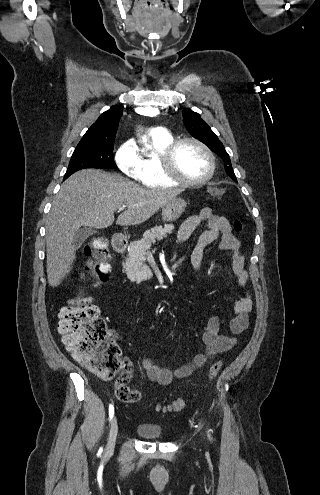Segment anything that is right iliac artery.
Returning <instances> with one entry per match:
<instances>
[{"label": "right iliac artery", "instance_id": "82829eb1", "mask_svg": "<svg viewBox=\"0 0 320 495\" xmlns=\"http://www.w3.org/2000/svg\"><path fill=\"white\" fill-rule=\"evenodd\" d=\"M113 414H114V407H113V405L111 404V405L109 406V417H110V420L112 419Z\"/></svg>", "mask_w": 320, "mask_h": 495}]
</instances>
